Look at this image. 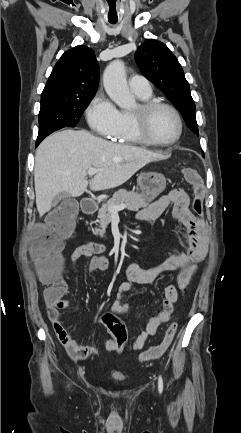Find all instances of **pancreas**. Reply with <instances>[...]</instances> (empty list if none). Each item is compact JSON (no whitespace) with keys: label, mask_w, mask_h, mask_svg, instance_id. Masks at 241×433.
I'll return each mask as SVG.
<instances>
[{"label":"pancreas","mask_w":241,"mask_h":433,"mask_svg":"<svg viewBox=\"0 0 241 433\" xmlns=\"http://www.w3.org/2000/svg\"><path fill=\"white\" fill-rule=\"evenodd\" d=\"M151 201V199L146 198L142 193L120 190L98 210L97 222L100 224V228L92 229L93 234L104 237L106 227L112 218L109 206L126 204L129 210L138 211L140 208L148 206Z\"/></svg>","instance_id":"cf45deb5"}]
</instances>
